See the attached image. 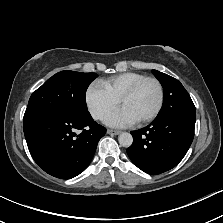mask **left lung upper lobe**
<instances>
[{
	"mask_svg": "<svg viewBox=\"0 0 223 223\" xmlns=\"http://www.w3.org/2000/svg\"><path fill=\"white\" fill-rule=\"evenodd\" d=\"M152 73L160 81L164 92L163 105L155 119L176 116L196 118L195 106L183 85L165 73L157 70H152Z\"/></svg>",
	"mask_w": 223,
	"mask_h": 223,
	"instance_id": "left-lung-upper-lobe-1",
	"label": "left lung upper lobe"
}]
</instances>
